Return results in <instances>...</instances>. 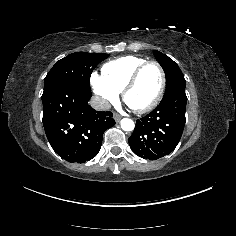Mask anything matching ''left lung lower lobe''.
I'll use <instances>...</instances> for the list:
<instances>
[{
	"label": "left lung lower lobe",
	"mask_w": 236,
	"mask_h": 236,
	"mask_svg": "<svg viewBox=\"0 0 236 236\" xmlns=\"http://www.w3.org/2000/svg\"><path fill=\"white\" fill-rule=\"evenodd\" d=\"M186 103L185 88L166 92L151 113L136 121V127L129 137L133 152L149 160L170 154L183 133Z\"/></svg>",
	"instance_id": "1"
}]
</instances>
